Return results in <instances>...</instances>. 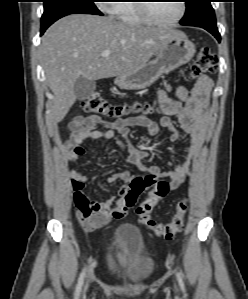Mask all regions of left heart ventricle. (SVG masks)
Wrapping results in <instances>:
<instances>
[{
    "label": "left heart ventricle",
    "instance_id": "1",
    "mask_svg": "<svg viewBox=\"0 0 248 299\" xmlns=\"http://www.w3.org/2000/svg\"><path fill=\"white\" fill-rule=\"evenodd\" d=\"M151 12L162 21H169L176 18L180 11L178 0L162 1L151 3Z\"/></svg>",
    "mask_w": 248,
    "mask_h": 299
}]
</instances>
